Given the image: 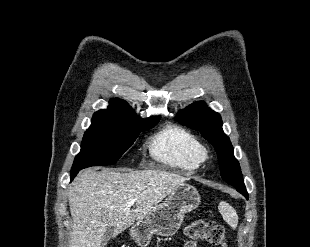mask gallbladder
Returning a JSON list of instances; mask_svg holds the SVG:
<instances>
[{
    "mask_svg": "<svg viewBox=\"0 0 310 247\" xmlns=\"http://www.w3.org/2000/svg\"><path fill=\"white\" fill-rule=\"evenodd\" d=\"M114 237V231L112 228H108L102 238V247H105V245L109 242L111 238Z\"/></svg>",
    "mask_w": 310,
    "mask_h": 247,
    "instance_id": "bac80fb5",
    "label": "gallbladder"
}]
</instances>
